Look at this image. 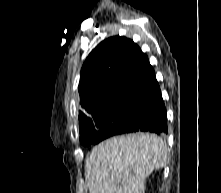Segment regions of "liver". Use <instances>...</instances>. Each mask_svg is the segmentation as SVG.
Segmentation results:
<instances>
[{
	"label": "liver",
	"mask_w": 221,
	"mask_h": 193,
	"mask_svg": "<svg viewBox=\"0 0 221 193\" xmlns=\"http://www.w3.org/2000/svg\"><path fill=\"white\" fill-rule=\"evenodd\" d=\"M166 163L167 144L155 134L112 137L86 160L89 193H144L146 178Z\"/></svg>",
	"instance_id": "obj_1"
}]
</instances>
